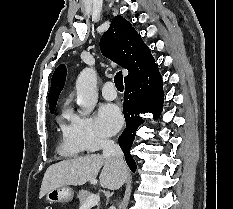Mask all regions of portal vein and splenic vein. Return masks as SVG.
<instances>
[{
    "mask_svg": "<svg viewBox=\"0 0 233 209\" xmlns=\"http://www.w3.org/2000/svg\"><path fill=\"white\" fill-rule=\"evenodd\" d=\"M100 201L99 195H91L86 202L83 204L81 209H89L92 206L98 205Z\"/></svg>",
    "mask_w": 233,
    "mask_h": 209,
    "instance_id": "obj_1",
    "label": "portal vein and splenic vein"
}]
</instances>
